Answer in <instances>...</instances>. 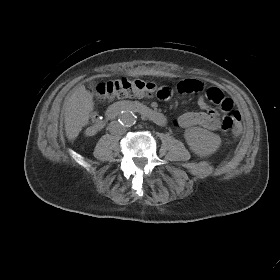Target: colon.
Instances as JSON below:
<instances>
[{"label":"colon","instance_id":"1","mask_svg":"<svg viewBox=\"0 0 280 280\" xmlns=\"http://www.w3.org/2000/svg\"><path fill=\"white\" fill-rule=\"evenodd\" d=\"M96 94L102 99L156 95L161 100H167L172 94V89L168 86L158 87L153 82L140 79L120 78L99 84ZM206 97L227 113L221 122V129L230 130L233 137H239L243 130L241 116L238 111L233 110V101L225 97L217 88L208 89Z\"/></svg>","mask_w":280,"mask_h":280}]
</instances>
